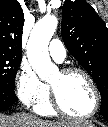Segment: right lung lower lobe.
Instances as JSON below:
<instances>
[{"label": "right lung lower lobe", "instance_id": "98d812e1", "mask_svg": "<svg viewBox=\"0 0 108 127\" xmlns=\"http://www.w3.org/2000/svg\"><path fill=\"white\" fill-rule=\"evenodd\" d=\"M16 100L17 97L14 90L0 86V111L10 107Z\"/></svg>", "mask_w": 108, "mask_h": 127}]
</instances>
